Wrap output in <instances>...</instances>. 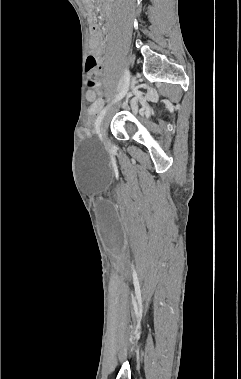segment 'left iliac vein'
Segmentation results:
<instances>
[{
	"mask_svg": "<svg viewBox=\"0 0 241 379\" xmlns=\"http://www.w3.org/2000/svg\"><path fill=\"white\" fill-rule=\"evenodd\" d=\"M135 83H136V76H133L131 78V81H130V89L131 90L134 89ZM103 137H104V143H105V145H108V141L106 140L104 133H103Z\"/></svg>",
	"mask_w": 241,
	"mask_h": 379,
	"instance_id": "left-iliac-vein-1",
	"label": "left iliac vein"
}]
</instances>
